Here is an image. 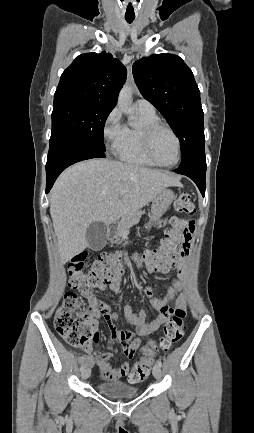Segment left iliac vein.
Here are the masks:
<instances>
[{
	"label": "left iliac vein",
	"mask_w": 254,
	"mask_h": 433,
	"mask_svg": "<svg viewBox=\"0 0 254 433\" xmlns=\"http://www.w3.org/2000/svg\"><path fill=\"white\" fill-rule=\"evenodd\" d=\"M161 367L158 365V364H156L154 367H153V375H154V377L157 379V380H159L160 378H161Z\"/></svg>",
	"instance_id": "obj_1"
}]
</instances>
